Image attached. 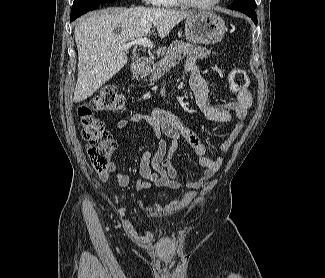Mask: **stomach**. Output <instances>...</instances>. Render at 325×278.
<instances>
[{
  "instance_id": "1",
  "label": "stomach",
  "mask_w": 325,
  "mask_h": 278,
  "mask_svg": "<svg viewBox=\"0 0 325 278\" xmlns=\"http://www.w3.org/2000/svg\"><path fill=\"white\" fill-rule=\"evenodd\" d=\"M225 31L226 26L223 19L210 11L192 14L185 23L186 38L198 44H216L223 39Z\"/></svg>"
}]
</instances>
